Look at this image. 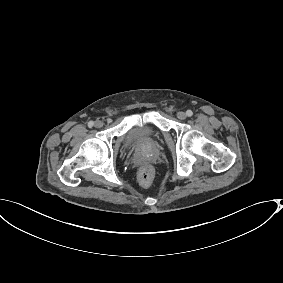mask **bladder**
I'll use <instances>...</instances> for the list:
<instances>
[{"mask_svg": "<svg viewBox=\"0 0 283 283\" xmlns=\"http://www.w3.org/2000/svg\"><path fill=\"white\" fill-rule=\"evenodd\" d=\"M158 133L150 124L140 123L133 125L124 135V146L147 144L155 139Z\"/></svg>", "mask_w": 283, "mask_h": 283, "instance_id": "obj_1", "label": "bladder"}]
</instances>
